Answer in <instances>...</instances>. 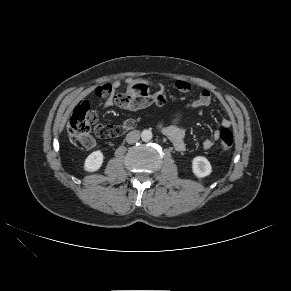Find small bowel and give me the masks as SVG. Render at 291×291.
I'll return each instance as SVG.
<instances>
[{"label": "small bowel", "mask_w": 291, "mask_h": 291, "mask_svg": "<svg viewBox=\"0 0 291 291\" xmlns=\"http://www.w3.org/2000/svg\"><path fill=\"white\" fill-rule=\"evenodd\" d=\"M125 92H118L121 86L120 81H114L109 84H104L97 88L96 92L100 90L102 97H105L104 108H110L113 106L119 107L125 110H140L147 108L151 105L163 106L166 102L165 90L162 86L157 85L153 92H150L148 86L139 79L129 78L125 82ZM175 88L183 93L191 91L192 86L185 80H177L175 82ZM212 102V94L209 90L203 89L198 97L193 100L187 108L189 110H196L204 108L210 105ZM222 126L228 128L231 126L229 119L222 121ZM159 128L161 132L170 140L174 148L179 152H184L187 149L185 142V131L181 125V114H176L172 117L171 121L167 124L160 123ZM219 138V131H215L213 139ZM213 146L212 139H205L202 142L204 149H210Z\"/></svg>", "instance_id": "c3829d8e"}]
</instances>
